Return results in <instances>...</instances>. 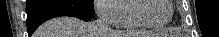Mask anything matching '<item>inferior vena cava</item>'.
Listing matches in <instances>:
<instances>
[{
  "label": "inferior vena cava",
  "instance_id": "1",
  "mask_svg": "<svg viewBox=\"0 0 219 37\" xmlns=\"http://www.w3.org/2000/svg\"><path fill=\"white\" fill-rule=\"evenodd\" d=\"M94 37H109L112 34L110 26L107 24L104 17H100L93 23Z\"/></svg>",
  "mask_w": 219,
  "mask_h": 37
}]
</instances>
